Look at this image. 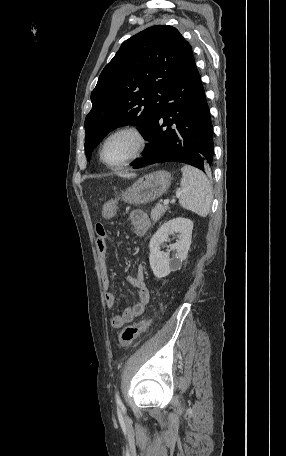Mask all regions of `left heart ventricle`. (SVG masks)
I'll use <instances>...</instances> for the list:
<instances>
[{"label": "left heart ventricle", "mask_w": 286, "mask_h": 456, "mask_svg": "<svg viewBox=\"0 0 286 456\" xmlns=\"http://www.w3.org/2000/svg\"><path fill=\"white\" fill-rule=\"evenodd\" d=\"M138 140L132 133L124 132L113 136L106 144L104 159L110 164H119L137 151Z\"/></svg>", "instance_id": "left-heart-ventricle-1"}]
</instances>
